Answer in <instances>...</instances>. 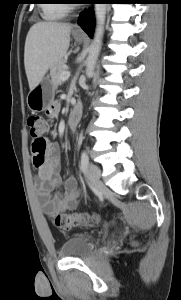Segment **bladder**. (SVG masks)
Wrapping results in <instances>:
<instances>
[{"label":"bladder","instance_id":"obj_1","mask_svg":"<svg viewBox=\"0 0 181 300\" xmlns=\"http://www.w3.org/2000/svg\"><path fill=\"white\" fill-rule=\"evenodd\" d=\"M94 248V238L86 234H76L63 247L66 258H86Z\"/></svg>","mask_w":181,"mask_h":300}]
</instances>
